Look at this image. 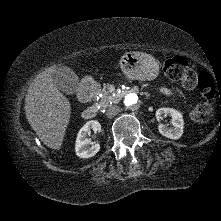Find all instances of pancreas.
<instances>
[{
  "mask_svg": "<svg viewBox=\"0 0 221 221\" xmlns=\"http://www.w3.org/2000/svg\"><path fill=\"white\" fill-rule=\"evenodd\" d=\"M111 88L112 85L106 84L103 86V89L101 90L102 97H100V100L98 102V106L101 109L107 108L114 101V98L111 95L113 92Z\"/></svg>",
  "mask_w": 221,
  "mask_h": 221,
  "instance_id": "cf45deb5",
  "label": "pancreas"
}]
</instances>
